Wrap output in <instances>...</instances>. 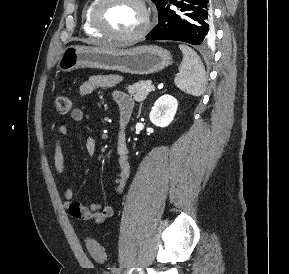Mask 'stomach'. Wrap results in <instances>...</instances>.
Instances as JSON below:
<instances>
[{
  "label": "stomach",
  "mask_w": 289,
  "mask_h": 274,
  "mask_svg": "<svg viewBox=\"0 0 289 274\" xmlns=\"http://www.w3.org/2000/svg\"><path fill=\"white\" fill-rule=\"evenodd\" d=\"M172 64L170 52L154 45L130 49H102L68 45L57 62V69L71 72L80 68H97L148 75Z\"/></svg>",
  "instance_id": "obj_1"
}]
</instances>
